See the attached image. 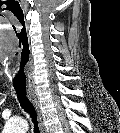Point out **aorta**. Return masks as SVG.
<instances>
[{
	"label": "aorta",
	"instance_id": "762f6f07",
	"mask_svg": "<svg viewBox=\"0 0 120 133\" xmlns=\"http://www.w3.org/2000/svg\"><path fill=\"white\" fill-rule=\"evenodd\" d=\"M26 129L27 124L22 119L9 122L6 126L7 133H22L23 131H26Z\"/></svg>",
	"mask_w": 120,
	"mask_h": 133
}]
</instances>
